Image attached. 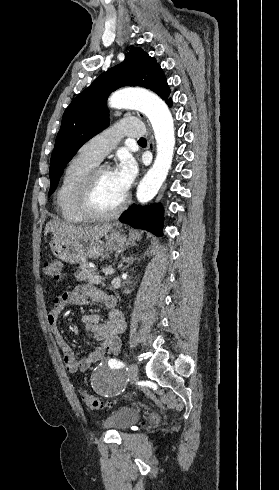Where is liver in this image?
I'll use <instances>...</instances> for the list:
<instances>
[{"mask_svg":"<svg viewBox=\"0 0 279 490\" xmlns=\"http://www.w3.org/2000/svg\"><path fill=\"white\" fill-rule=\"evenodd\" d=\"M112 224H103V226H71V224H64L61 220H51L46 224L44 236H47L49 232L60 236V238H68L72 242H92V240H100L102 236H105L109 230H112Z\"/></svg>","mask_w":279,"mask_h":490,"instance_id":"6515ba94","label":"liver"}]
</instances>
